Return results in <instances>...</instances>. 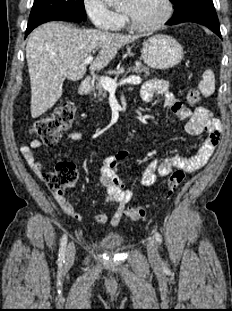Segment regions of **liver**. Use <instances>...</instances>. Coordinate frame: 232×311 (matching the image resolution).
<instances>
[{
	"label": "liver",
	"mask_w": 232,
	"mask_h": 311,
	"mask_svg": "<svg viewBox=\"0 0 232 311\" xmlns=\"http://www.w3.org/2000/svg\"><path fill=\"white\" fill-rule=\"evenodd\" d=\"M137 39L57 22L35 29L26 44L32 118L41 116L58 101L66 78L77 81L85 75V59L96 49L101 48L90 65L92 71L106 67L122 46Z\"/></svg>",
	"instance_id": "6515ba94"
}]
</instances>
